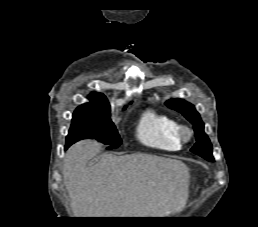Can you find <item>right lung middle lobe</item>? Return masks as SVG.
<instances>
[{"label": "right lung middle lobe", "mask_w": 258, "mask_h": 227, "mask_svg": "<svg viewBox=\"0 0 258 227\" xmlns=\"http://www.w3.org/2000/svg\"><path fill=\"white\" fill-rule=\"evenodd\" d=\"M87 138L96 139L108 145V150L117 148L121 144L118 131L110 119V109L77 108L75 110L66 137V145H72Z\"/></svg>", "instance_id": "1"}]
</instances>
